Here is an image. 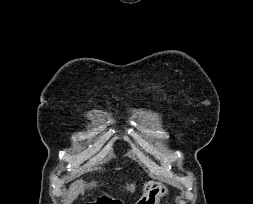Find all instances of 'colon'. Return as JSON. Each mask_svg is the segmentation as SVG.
<instances>
[{
	"mask_svg": "<svg viewBox=\"0 0 253 204\" xmlns=\"http://www.w3.org/2000/svg\"><path fill=\"white\" fill-rule=\"evenodd\" d=\"M110 201L109 197L106 195H102L100 197H98L97 199L93 200V201H88L85 202L84 204H108ZM121 204V203H119Z\"/></svg>",
	"mask_w": 253,
	"mask_h": 204,
	"instance_id": "1",
	"label": "colon"
}]
</instances>
